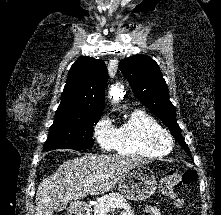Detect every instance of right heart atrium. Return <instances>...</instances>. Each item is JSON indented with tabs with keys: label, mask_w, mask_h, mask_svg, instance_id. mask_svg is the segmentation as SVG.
Instances as JSON below:
<instances>
[{
	"label": "right heart atrium",
	"mask_w": 221,
	"mask_h": 215,
	"mask_svg": "<svg viewBox=\"0 0 221 215\" xmlns=\"http://www.w3.org/2000/svg\"><path fill=\"white\" fill-rule=\"evenodd\" d=\"M93 135L102 150L110 151L114 148L116 128L108 114H104L97 121Z\"/></svg>",
	"instance_id": "d8ad5b80"
}]
</instances>
